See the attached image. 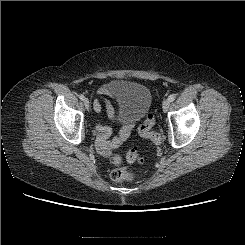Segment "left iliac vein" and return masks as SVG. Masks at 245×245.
Here are the masks:
<instances>
[{
    "label": "left iliac vein",
    "instance_id": "obj_1",
    "mask_svg": "<svg viewBox=\"0 0 245 245\" xmlns=\"http://www.w3.org/2000/svg\"><path fill=\"white\" fill-rule=\"evenodd\" d=\"M170 106V101L167 99L163 102L162 108L164 112H167V110L169 109Z\"/></svg>",
    "mask_w": 245,
    "mask_h": 245
}]
</instances>
